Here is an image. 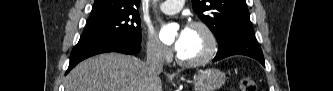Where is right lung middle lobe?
I'll return each mask as SVG.
<instances>
[{
  "instance_id": "1",
  "label": "right lung middle lobe",
  "mask_w": 333,
  "mask_h": 91,
  "mask_svg": "<svg viewBox=\"0 0 333 91\" xmlns=\"http://www.w3.org/2000/svg\"><path fill=\"white\" fill-rule=\"evenodd\" d=\"M84 36H120L141 42L140 17L136 10L90 18Z\"/></svg>"
}]
</instances>
